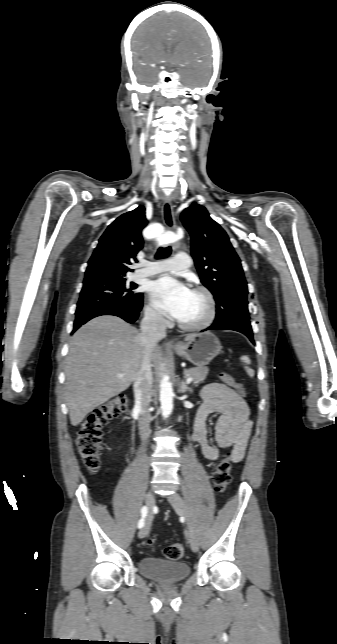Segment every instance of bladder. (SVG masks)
I'll return each instance as SVG.
<instances>
[{"label": "bladder", "instance_id": "bladder-1", "mask_svg": "<svg viewBox=\"0 0 337 644\" xmlns=\"http://www.w3.org/2000/svg\"><path fill=\"white\" fill-rule=\"evenodd\" d=\"M138 567L143 576L162 583H177L190 574V567L185 562L155 557L140 559Z\"/></svg>", "mask_w": 337, "mask_h": 644}]
</instances>
